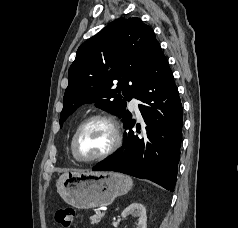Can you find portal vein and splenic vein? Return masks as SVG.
Listing matches in <instances>:
<instances>
[{"label":"portal vein and splenic vein","instance_id":"obj_1","mask_svg":"<svg viewBox=\"0 0 238 228\" xmlns=\"http://www.w3.org/2000/svg\"><path fill=\"white\" fill-rule=\"evenodd\" d=\"M97 215H102L103 213H101V211H96Z\"/></svg>","mask_w":238,"mask_h":228}]
</instances>
